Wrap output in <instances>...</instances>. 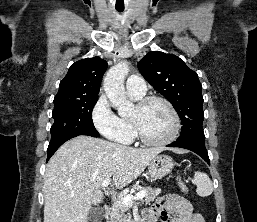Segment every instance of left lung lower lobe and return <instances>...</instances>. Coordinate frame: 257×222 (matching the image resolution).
I'll use <instances>...</instances> for the list:
<instances>
[{
	"label": "left lung lower lobe",
	"instance_id": "1",
	"mask_svg": "<svg viewBox=\"0 0 257 222\" xmlns=\"http://www.w3.org/2000/svg\"><path fill=\"white\" fill-rule=\"evenodd\" d=\"M167 147H179L191 150L202 157L209 165L210 160L208 157V152L205 147V140H188V141H178L167 145Z\"/></svg>",
	"mask_w": 257,
	"mask_h": 222
}]
</instances>
